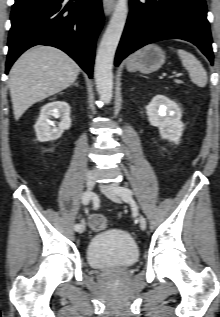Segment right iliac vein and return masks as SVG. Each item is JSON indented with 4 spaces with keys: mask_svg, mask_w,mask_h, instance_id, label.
<instances>
[{
    "mask_svg": "<svg viewBox=\"0 0 220 317\" xmlns=\"http://www.w3.org/2000/svg\"><path fill=\"white\" fill-rule=\"evenodd\" d=\"M86 186L89 191H92L95 186V176L92 174H89L86 178ZM85 230V223H81V228L79 229V232L82 233Z\"/></svg>",
    "mask_w": 220,
    "mask_h": 317,
    "instance_id": "63e3f726",
    "label": "right iliac vein"
}]
</instances>
